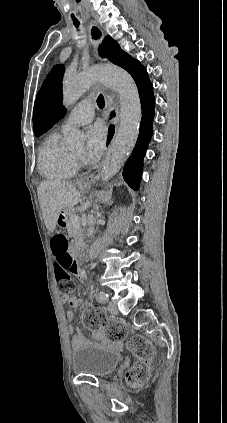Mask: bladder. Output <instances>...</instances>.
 I'll return each mask as SVG.
<instances>
[{
  "mask_svg": "<svg viewBox=\"0 0 227 423\" xmlns=\"http://www.w3.org/2000/svg\"><path fill=\"white\" fill-rule=\"evenodd\" d=\"M120 352L87 343L72 355V371L81 376L105 379L122 363Z\"/></svg>",
  "mask_w": 227,
  "mask_h": 423,
  "instance_id": "1",
  "label": "bladder"
}]
</instances>
